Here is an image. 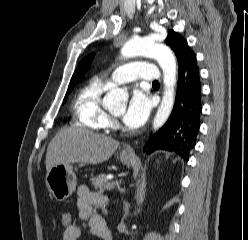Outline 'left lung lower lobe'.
Wrapping results in <instances>:
<instances>
[{
    "label": "left lung lower lobe",
    "instance_id": "1",
    "mask_svg": "<svg viewBox=\"0 0 248 240\" xmlns=\"http://www.w3.org/2000/svg\"><path fill=\"white\" fill-rule=\"evenodd\" d=\"M201 83L196 55L192 54L178 72L173 110L164 126L145 145L147 153L163 149L189 160L200 127Z\"/></svg>",
    "mask_w": 248,
    "mask_h": 240
}]
</instances>
